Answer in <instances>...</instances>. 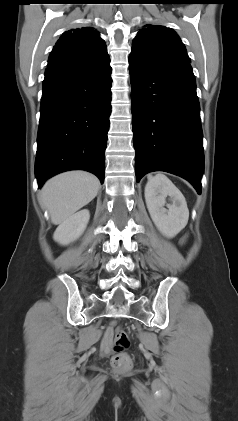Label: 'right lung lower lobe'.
<instances>
[{
	"instance_id": "obj_1",
	"label": "right lung lower lobe",
	"mask_w": 238,
	"mask_h": 421,
	"mask_svg": "<svg viewBox=\"0 0 238 421\" xmlns=\"http://www.w3.org/2000/svg\"><path fill=\"white\" fill-rule=\"evenodd\" d=\"M111 70L110 59L47 67L35 162L38 188L48 178L75 169L89 171L103 183Z\"/></svg>"
}]
</instances>
